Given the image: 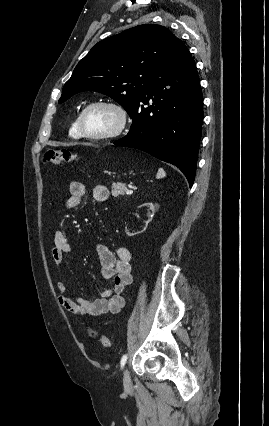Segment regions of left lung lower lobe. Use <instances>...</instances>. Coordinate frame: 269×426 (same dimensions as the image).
Segmentation results:
<instances>
[{
  "label": "left lung lower lobe",
  "mask_w": 269,
  "mask_h": 426,
  "mask_svg": "<svg viewBox=\"0 0 269 426\" xmlns=\"http://www.w3.org/2000/svg\"><path fill=\"white\" fill-rule=\"evenodd\" d=\"M152 100V105H149ZM133 123L114 142L177 166L192 187L203 121V96L195 62L176 39L149 79L148 90L128 113Z\"/></svg>",
  "instance_id": "0a47b994"
}]
</instances>
